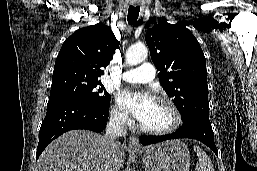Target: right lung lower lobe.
<instances>
[{
  "instance_id": "obj_1",
  "label": "right lung lower lobe",
  "mask_w": 257,
  "mask_h": 171,
  "mask_svg": "<svg viewBox=\"0 0 257 171\" xmlns=\"http://www.w3.org/2000/svg\"><path fill=\"white\" fill-rule=\"evenodd\" d=\"M108 115L109 106L98 107L82 99L48 101L47 113L40 128L36 159L51 141L69 130L87 129L102 132Z\"/></svg>"
}]
</instances>
